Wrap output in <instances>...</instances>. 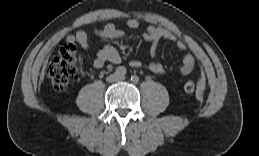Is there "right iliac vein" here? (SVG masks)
<instances>
[{
  "mask_svg": "<svg viewBox=\"0 0 259 156\" xmlns=\"http://www.w3.org/2000/svg\"><path fill=\"white\" fill-rule=\"evenodd\" d=\"M117 80H118V75L117 74H112V75L107 77V81L108 82H115Z\"/></svg>",
  "mask_w": 259,
  "mask_h": 156,
  "instance_id": "1",
  "label": "right iliac vein"
}]
</instances>
